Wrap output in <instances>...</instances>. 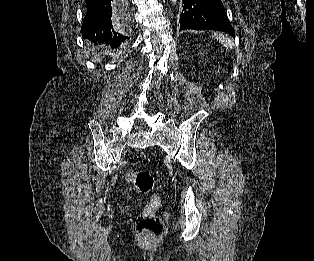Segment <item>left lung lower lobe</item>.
I'll return each mask as SVG.
<instances>
[{
	"instance_id": "obj_1",
	"label": "left lung lower lobe",
	"mask_w": 314,
	"mask_h": 261,
	"mask_svg": "<svg viewBox=\"0 0 314 261\" xmlns=\"http://www.w3.org/2000/svg\"><path fill=\"white\" fill-rule=\"evenodd\" d=\"M180 30H219L235 37L221 0H184Z\"/></svg>"
}]
</instances>
